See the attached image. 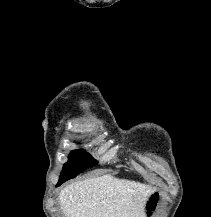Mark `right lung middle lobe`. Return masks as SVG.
<instances>
[{
  "mask_svg": "<svg viewBox=\"0 0 211 217\" xmlns=\"http://www.w3.org/2000/svg\"><path fill=\"white\" fill-rule=\"evenodd\" d=\"M69 161L64 164L59 180L66 181L74 178L78 173L97 164L87 152L82 150L72 151Z\"/></svg>",
  "mask_w": 211,
  "mask_h": 217,
  "instance_id": "obj_1",
  "label": "right lung middle lobe"
}]
</instances>
